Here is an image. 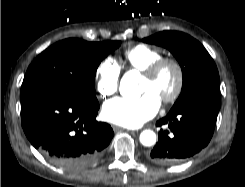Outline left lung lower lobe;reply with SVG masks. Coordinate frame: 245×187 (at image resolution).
I'll return each instance as SVG.
<instances>
[{
	"instance_id": "left-lung-lower-lobe-1",
	"label": "left lung lower lobe",
	"mask_w": 245,
	"mask_h": 187,
	"mask_svg": "<svg viewBox=\"0 0 245 187\" xmlns=\"http://www.w3.org/2000/svg\"><path fill=\"white\" fill-rule=\"evenodd\" d=\"M220 109L219 92L201 95L183 104L157 121L158 143L149 155L152 162L173 165L184 161L204 148L213 135Z\"/></svg>"
}]
</instances>
